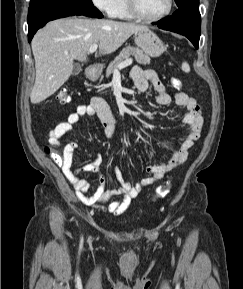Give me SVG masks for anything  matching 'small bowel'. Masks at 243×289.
Here are the masks:
<instances>
[{"label": "small bowel", "instance_id": "1", "mask_svg": "<svg viewBox=\"0 0 243 289\" xmlns=\"http://www.w3.org/2000/svg\"><path fill=\"white\" fill-rule=\"evenodd\" d=\"M130 76L136 88L140 92H146L150 85L157 92L156 103L160 106H167L172 102V97L166 92L165 86L151 69L134 67ZM176 105L186 109L182 117L186 125L185 137L179 148L166 162H154L146 167L148 176L132 185L124 179L120 168L115 167V181L117 186L106 190V178L100 169L101 158L98 156L94 161L73 169V153L78 147L75 141H69L62 147L63 163L60 165L63 174L73 186L77 199L88 206L99 208L113 215L122 214L131 204L132 200L147 186L160 181L164 175L184 163L194 143L200 138L203 119L200 107L196 100L184 92H178L173 97ZM97 117L103 126L105 135L112 139L116 134V118L111 112L107 102L101 97H93L89 104L78 105L66 121L56 124L49 131V143L52 147H59L61 139L71 131L72 127L83 117ZM92 172L98 175L99 186L91 191L90 183L79 177V172ZM109 202L106 206L98 203Z\"/></svg>", "mask_w": 243, "mask_h": 289}]
</instances>
